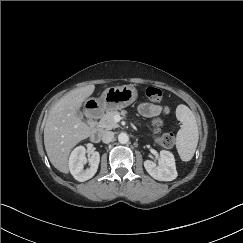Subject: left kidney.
I'll use <instances>...</instances> for the list:
<instances>
[{
	"label": "left kidney",
	"instance_id": "left-kidney-1",
	"mask_svg": "<svg viewBox=\"0 0 243 243\" xmlns=\"http://www.w3.org/2000/svg\"><path fill=\"white\" fill-rule=\"evenodd\" d=\"M146 171L159 181H172L177 177L174 155L166 150L160 151V165L151 160L144 161Z\"/></svg>",
	"mask_w": 243,
	"mask_h": 243
}]
</instances>
